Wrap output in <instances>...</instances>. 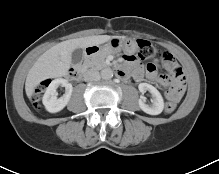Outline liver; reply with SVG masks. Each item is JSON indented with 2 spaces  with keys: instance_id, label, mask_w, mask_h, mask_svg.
<instances>
[{
  "instance_id": "liver-1",
  "label": "liver",
  "mask_w": 219,
  "mask_h": 174,
  "mask_svg": "<svg viewBox=\"0 0 219 174\" xmlns=\"http://www.w3.org/2000/svg\"><path fill=\"white\" fill-rule=\"evenodd\" d=\"M112 38L121 36L98 35L71 39L58 43L44 52L29 70L25 91L28 98L33 95L34 89L44 80L66 76L72 64V52L78 48L98 46Z\"/></svg>"
}]
</instances>
